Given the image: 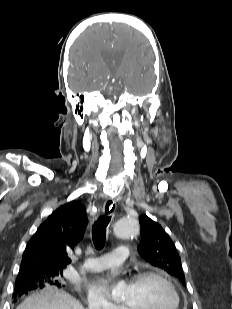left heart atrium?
I'll use <instances>...</instances> for the list:
<instances>
[{"mask_svg": "<svg viewBox=\"0 0 232 309\" xmlns=\"http://www.w3.org/2000/svg\"><path fill=\"white\" fill-rule=\"evenodd\" d=\"M109 283H110V279L109 278H101L99 280V284H100V287L102 289H106L108 287Z\"/></svg>", "mask_w": 232, "mask_h": 309, "instance_id": "1", "label": "left heart atrium"}]
</instances>
